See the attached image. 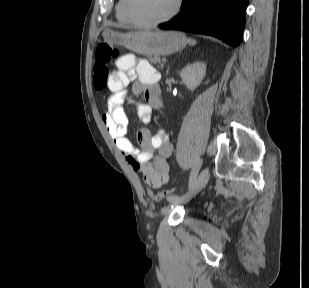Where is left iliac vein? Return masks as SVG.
<instances>
[{
	"mask_svg": "<svg viewBox=\"0 0 309 288\" xmlns=\"http://www.w3.org/2000/svg\"><path fill=\"white\" fill-rule=\"evenodd\" d=\"M209 180V169L204 168L193 186V188L188 192V194L184 197H179L177 199L169 201L171 205H177L179 203L185 202L193 198L199 191H201L207 184Z\"/></svg>",
	"mask_w": 309,
	"mask_h": 288,
	"instance_id": "4c4485c4",
	"label": "left iliac vein"
}]
</instances>
